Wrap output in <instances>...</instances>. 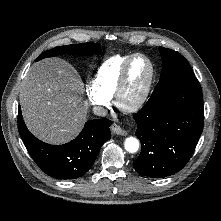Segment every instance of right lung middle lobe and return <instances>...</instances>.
I'll return each instance as SVG.
<instances>
[{
    "mask_svg": "<svg viewBox=\"0 0 221 221\" xmlns=\"http://www.w3.org/2000/svg\"><path fill=\"white\" fill-rule=\"evenodd\" d=\"M98 47H99V44H95L93 42L59 46V47L43 52L36 59V61L41 60L43 58L60 55V54H69V55L94 54L98 52Z\"/></svg>",
    "mask_w": 221,
    "mask_h": 221,
    "instance_id": "dd1d6c3e",
    "label": "right lung middle lobe"
}]
</instances>
